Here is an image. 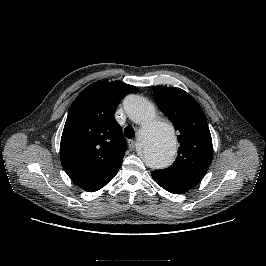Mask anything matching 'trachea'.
I'll list each match as a JSON object with an SVG mask.
<instances>
[{
  "label": "trachea",
  "mask_w": 266,
  "mask_h": 266,
  "mask_svg": "<svg viewBox=\"0 0 266 266\" xmlns=\"http://www.w3.org/2000/svg\"><path fill=\"white\" fill-rule=\"evenodd\" d=\"M124 135L128 139L133 138L135 136V131H134L133 127H131V126L125 127V129H124Z\"/></svg>",
  "instance_id": "obj_1"
}]
</instances>
